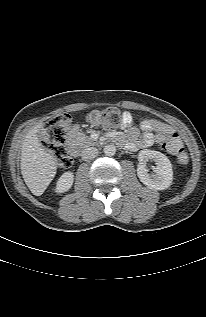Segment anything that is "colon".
<instances>
[{"instance_id":"obj_1","label":"colon","mask_w":206,"mask_h":317,"mask_svg":"<svg viewBox=\"0 0 206 317\" xmlns=\"http://www.w3.org/2000/svg\"><path fill=\"white\" fill-rule=\"evenodd\" d=\"M124 113L114 107L93 110L87 116L89 124L104 129L114 130L122 126ZM69 115H61L53 119L40 133V140L44 147L54 153L61 168H69L73 161L66 147V135L70 127ZM162 148L173 154L180 164L187 162V155L182 141L174 132L161 141Z\"/></svg>"}]
</instances>
